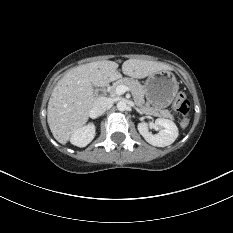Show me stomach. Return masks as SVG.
<instances>
[{
	"instance_id": "1",
	"label": "stomach",
	"mask_w": 233,
	"mask_h": 233,
	"mask_svg": "<svg viewBox=\"0 0 233 233\" xmlns=\"http://www.w3.org/2000/svg\"><path fill=\"white\" fill-rule=\"evenodd\" d=\"M179 85L170 71H160L148 76L144 84L145 95L157 108L168 107L178 93Z\"/></svg>"
}]
</instances>
